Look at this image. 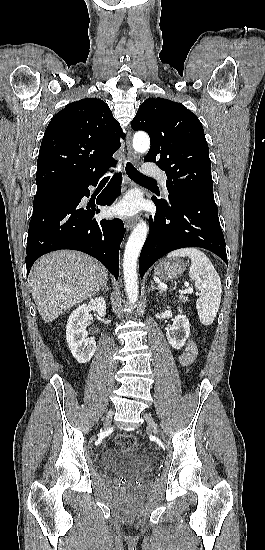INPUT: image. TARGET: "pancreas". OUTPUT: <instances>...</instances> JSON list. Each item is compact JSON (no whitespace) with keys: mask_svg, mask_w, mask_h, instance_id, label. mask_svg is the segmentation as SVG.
Returning <instances> with one entry per match:
<instances>
[{"mask_svg":"<svg viewBox=\"0 0 265 550\" xmlns=\"http://www.w3.org/2000/svg\"><path fill=\"white\" fill-rule=\"evenodd\" d=\"M179 299H180L182 302L188 301V297H186V296H184V295H179Z\"/></svg>","mask_w":265,"mask_h":550,"instance_id":"obj_1","label":"pancreas"}]
</instances>
